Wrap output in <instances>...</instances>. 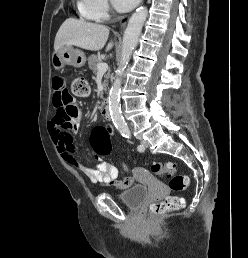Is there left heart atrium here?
<instances>
[{
  "mask_svg": "<svg viewBox=\"0 0 248 258\" xmlns=\"http://www.w3.org/2000/svg\"><path fill=\"white\" fill-rule=\"evenodd\" d=\"M115 8L120 12L132 9L140 0H112Z\"/></svg>",
  "mask_w": 248,
  "mask_h": 258,
  "instance_id": "obj_1",
  "label": "left heart atrium"
}]
</instances>
